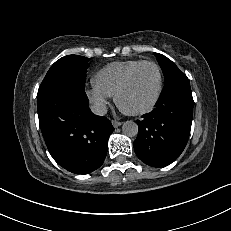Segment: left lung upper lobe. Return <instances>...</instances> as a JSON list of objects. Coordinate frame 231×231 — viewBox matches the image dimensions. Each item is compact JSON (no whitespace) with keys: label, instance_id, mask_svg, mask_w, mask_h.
Wrapping results in <instances>:
<instances>
[{"label":"left lung upper lobe","instance_id":"left-lung-upper-lobe-1","mask_svg":"<svg viewBox=\"0 0 231 231\" xmlns=\"http://www.w3.org/2000/svg\"><path fill=\"white\" fill-rule=\"evenodd\" d=\"M154 55L156 56V59L160 67L162 68V71L165 77V82L183 73L170 59H168L164 55L159 54V53H154Z\"/></svg>","mask_w":231,"mask_h":231}]
</instances>
